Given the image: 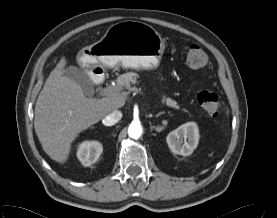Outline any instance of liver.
I'll use <instances>...</instances> for the list:
<instances>
[{
  "label": "liver",
  "mask_w": 277,
  "mask_h": 218,
  "mask_svg": "<svg viewBox=\"0 0 277 218\" xmlns=\"http://www.w3.org/2000/svg\"><path fill=\"white\" fill-rule=\"evenodd\" d=\"M66 59L51 71L35 104L34 128L44 152L64 163L78 134L124 106L125 95L87 98L81 86L63 76Z\"/></svg>",
  "instance_id": "liver-1"
}]
</instances>
